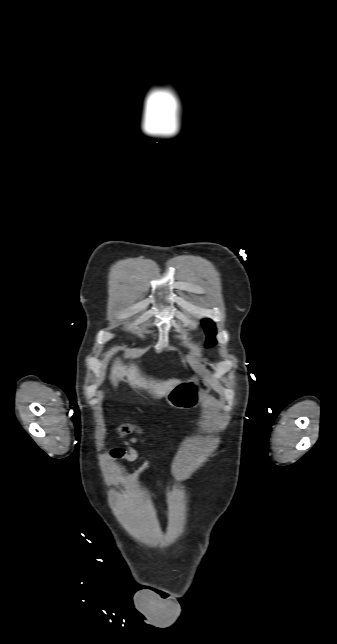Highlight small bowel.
I'll return each instance as SVG.
<instances>
[{
	"instance_id": "c3829d8e",
	"label": "small bowel",
	"mask_w": 337,
	"mask_h": 644,
	"mask_svg": "<svg viewBox=\"0 0 337 644\" xmlns=\"http://www.w3.org/2000/svg\"><path fill=\"white\" fill-rule=\"evenodd\" d=\"M138 440L132 438L125 443V447L114 448L110 452L111 459H121L127 462H134L138 459V452L132 447V444L137 443ZM150 460H145L142 465L131 475L126 478V484L132 486L140 476L150 467Z\"/></svg>"
}]
</instances>
